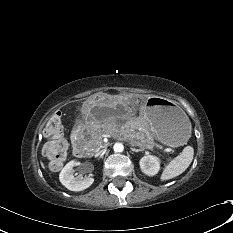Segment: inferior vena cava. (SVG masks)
<instances>
[{
  "instance_id": "602c4592",
  "label": "inferior vena cava",
  "mask_w": 233,
  "mask_h": 233,
  "mask_svg": "<svg viewBox=\"0 0 233 233\" xmlns=\"http://www.w3.org/2000/svg\"><path fill=\"white\" fill-rule=\"evenodd\" d=\"M101 153H103V150L98 151L95 156H99Z\"/></svg>"
}]
</instances>
